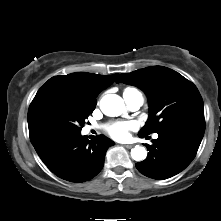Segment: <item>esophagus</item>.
Listing matches in <instances>:
<instances>
[{"label":"esophagus","instance_id":"1","mask_svg":"<svg viewBox=\"0 0 221 221\" xmlns=\"http://www.w3.org/2000/svg\"><path fill=\"white\" fill-rule=\"evenodd\" d=\"M125 148H127V149H130V148H132L134 145H132V144H124L123 145Z\"/></svg>","mask_w":221,"mask_h":221}]
</instances>
